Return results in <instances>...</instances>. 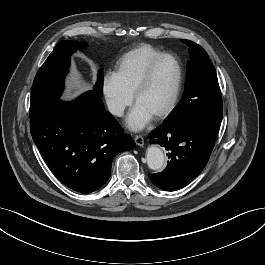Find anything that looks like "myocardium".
<instances>
[{"mask_svg": "<svg viewBox=\"0 0 265 265\" xmlns=\"http://www.w3.org/2000/svg\"><path fill=\"white\" fill-rule=\"evenodd\" d=\"M167 58L172 59L176 64L177 79L171 100L161 111H159L153 116V118L157 120L168 116L175 109L181 95L182 84H183V69L179 59L175 55L170 53H162L157 57H155L153 60H151L144 69L140 78L138 79L131 95L132 102L135 103L137 97L143 92V90L148 85L155 67L158 65L160 61Z\"/></svg>", "mask_w": 265, "mask_h": 265, "instance_id": "obj_1", "label": "myocardium"}]
</instances>
